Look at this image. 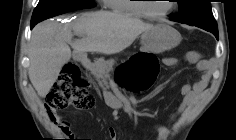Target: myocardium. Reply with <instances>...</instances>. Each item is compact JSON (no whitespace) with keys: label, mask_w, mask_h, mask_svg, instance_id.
<instances>
[{"label":"myocardium","mask_w":236,"mask_h":140,"mask_svg":"<svg viewBox=\"0 0 236 140\" xmlns=\"http://www.w3.org/2000/svg\"><path fill=\"white\" fill-rule=\"evenodd\" d=\"M141 1H144V0H141ZM173 1V0H171ZM137 8L140 12V14L146 18H149V19H161V18H164L166 17L167 15H169L175 8H176V5L174 3H170V8L167 9L166 11L162 12V13H153L151 12L148 7H147V4L143 3V2H140L139 4H137Z\"/></svg>","instance_id":"myocardium-1"}]
</instances>
